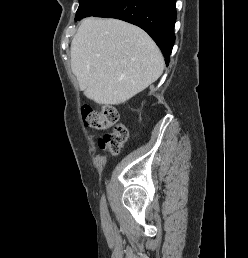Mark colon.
<instances>
[{"label": "colon", "instance_id": "obj_1", "mask_svg": "<svg viewBox=\"0 0 248 258\" xmlns=\"http://www.w3.org/2000/svg\"><path fill=\"white\" fill-rule=\"evenodd\" d=\"M81 118L84 125L92 129H104L111 127V132L103 135L98 140L102 150L117 155L128 137V131L124 125L119 123L117 110L111 105H104L100 111L89 105L81 109Z\"/></svg>", "mask_w": 248, "mask_h": 258}]
</instances>
